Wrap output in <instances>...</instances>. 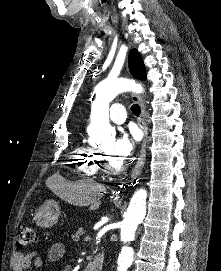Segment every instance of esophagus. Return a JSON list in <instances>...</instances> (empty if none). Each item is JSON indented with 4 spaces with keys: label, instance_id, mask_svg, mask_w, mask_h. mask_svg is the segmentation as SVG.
I'll use <instances>...</instances> for the list:
<instances>
[{
    "label": "esophagus",
    "instance_id": "34e87169",
    "mask_svg": "<svg viewBox=\"0 0 221 271\" xmlns=\"http://www.w3.org/2000/svg\"><path fill=\"white\" fill-rule=\"evenodd\" d=\"M132 100L135 103H138L140 105L141 116L139 119V126L141 127V129L143 130V133H144L143 141H142V145H141V149H140V154H139L137 163L131 173V177H135L141 173L143 166L145 164L146 152H147L146 150H147L148 126L145 121L146 109H145V105L142 100V97L134 94V95H132Z\"/></svg>",
    "mask_w": 221,
    "mask_h": 271
}]
</instances>
